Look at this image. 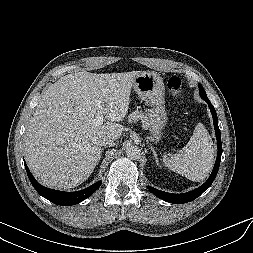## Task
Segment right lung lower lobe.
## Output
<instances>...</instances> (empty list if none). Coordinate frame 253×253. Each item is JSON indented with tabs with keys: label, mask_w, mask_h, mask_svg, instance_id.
Here are the masks:
<instances>
[{
	"label": "right lung lower lobe",
	"mask_w": 253,
	"mask_h": 253,
	"mask_svg": "<svg viewBox=\"0 0 253 253\" xmlns=\"http://www.w3.org/2000/svg\"><path fill=\"white\" fill-rule=\"evenodd\" d=\"M25 169L27 171L28 177L30 182L32 183L35 190L44 198L48 199L49 201L53 202L57 205H74L77 204L86 198H88L91 194H93L101 185V181H98L94 183L93 185L89 186L88 188H85L81 191L77 192H63L58 190H53L46 188L42 185H40L35 178L32 176V174L29 171V168L27 167L26 163L24 162Z\"/></svg>",
	"instance_id": "1"
}]
</instances>
